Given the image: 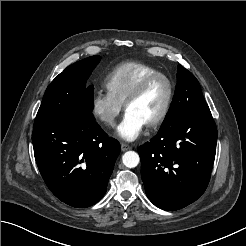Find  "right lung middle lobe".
<instances>
[{
	"mask_svg": "<svg viewBox=\"0 0 246 246\" xmlns=\"http://www.w3.org/2000/svg\"><path fill=\"white\" fill-rule=\"evenodd\" d=\"M99 60L91 56L64 69L48 86L35 121L91 119L94 88L86 81Z\"/></svg>",
	"mask_w": 246,
	"mask_h": 246,
	"instance_id": "right-lung-middle-lobe-1",
	"label": "right lung middle lobe"
}]
</instances>
